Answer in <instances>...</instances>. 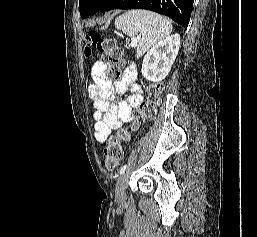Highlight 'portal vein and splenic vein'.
Instances as JSON below:
<instances>
[{"label":"portal vein and splenic vein","instance_id":"1","mask_svg":"<svg viewBox=\"0 0 257 237\" xmlns=\"http://www.w3.org/2000/svg\"><path fill=\"white\" fill-rule=\"evenodd\" d=\"M137 43H138V39H134V40H132V42H131V46L132 47H136L137 46Z\"/></svg>","mask_w":257,"mask_h":237}]
</instances>
